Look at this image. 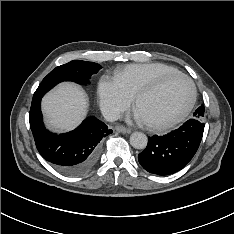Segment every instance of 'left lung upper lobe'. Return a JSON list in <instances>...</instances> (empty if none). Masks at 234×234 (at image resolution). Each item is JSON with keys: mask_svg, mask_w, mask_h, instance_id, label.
<instances>
[{"mask_svg": "<svg viewBox=\"0 0 234 234\" xmlns=\"http://www.w3.org/2000/svg\"><path fill=\"white\" fill-rule=\"evenodd\" d=\"M193 118L203 121V118H204V106L203 105L195 110L193 114Z\"/></svg>", "mask_w": 234, "mask_h": 234, "instance_id": "1", "label": "left lung upper lobe"}]
</instances>
